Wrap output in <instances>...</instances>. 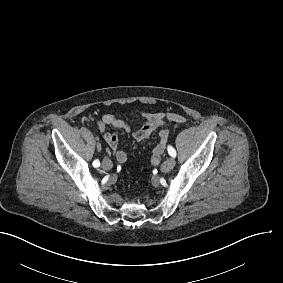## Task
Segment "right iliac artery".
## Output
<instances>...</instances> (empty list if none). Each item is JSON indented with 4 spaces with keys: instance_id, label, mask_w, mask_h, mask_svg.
I'll return each mask as SVG.
<instances>
[{
    "instance_id": "obj_1",
    "label": "right iliac artery",
    "mask_w": 283,
    "mask_h": 283,
    "mask_svg": "<svg viewBox=\"0 0 283 283\" xmlns=\"http://www.w3.org/2000/svg\"><path fill=\"white\" fill-rule=\"evenodd\" d=\"M93 166L96 168V167H99L100 166V162H99V160H95L94 162H93Z\"/></svg>"
}]
</instances>
